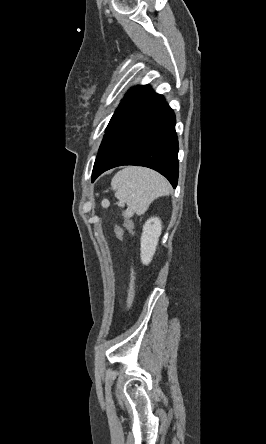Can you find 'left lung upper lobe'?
<instances>
[{
    "mask_svg": "<svg viewBox=\"0 0 266 444\" xmlns=\"http://www.w3.org/2000/svg\"><path fill=\"white\" fill-rule=\"evenodd\" d=\"M150 90H151V87L148 85L136 86V87L131 88L128 91V93L125 95L124 99L121 101L118 109H121V108L129 105L130 103H132L133 101H135L139 97L143 96L144 94H146Z\"/></svg>",
    "mask_w": 266,
    "mask_h": 444,
    "instance_id": "5c2ea615",
    "label": "left lung upper lobe"
}]
</instances>
